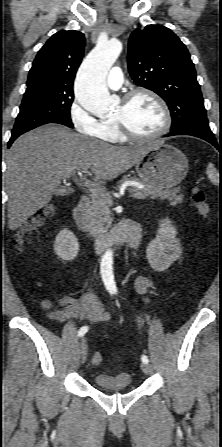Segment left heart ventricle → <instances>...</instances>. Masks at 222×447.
Returning <instances> with one entry per match:
<instances>
[{
  "mask_svg": "<svg viewBox=\"0 0 222 447\" xmlns=\"http://www.w3.org/2000/svg\"><path fill=\"white\" fill-rule=\"evenodd\" d=\"M115 117H123L139 135H152L160 130L164 117L159 105L149 96L138 95L127 105L120 103Z\"/></svg>",
  "mask_w": 222,
  "mask_h": 447,
  "instance_id": "b2bd125f",
  "label": "left heart ventricle"
}]
</instances>
